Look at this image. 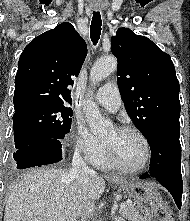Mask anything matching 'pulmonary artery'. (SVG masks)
Instances as JSON below:
<instances>
[{
  "instance_id": "obj_1",
  "label": "pulmonary artery",
  "mask_w": 190,
  "mask_h": 221,
  "mask_svg": "<svg viewBox=\"0 0 190 221\" xmlns=\"http://www.w3.org/2000/svg\"><path fill=\"white\" fill-rule=\"evenodd\" d=\"M94 99L104 108L115 112L121 105V96L115 83L109 82L96 92Z\"/></svg>"
}]
</instances>
